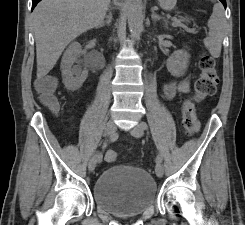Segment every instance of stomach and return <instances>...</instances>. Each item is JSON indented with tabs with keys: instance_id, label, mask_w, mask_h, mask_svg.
<instances>
[{
	"instance_id": "1",
	"label": "stomach",
	"mask_w": 245,
	"mask_h": 225,
	"mask_svg": "<svg viewBox=\"0 0 245 225\" xmlns=\"http://www.w3.org/2000/svg\"><path fill=\"white\" fill-rule=\"evenodd\" d=\"M177 0H158L160 7L165 11L174 9Z\"/></svg>"
}]
</instances>
